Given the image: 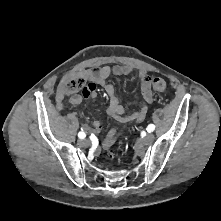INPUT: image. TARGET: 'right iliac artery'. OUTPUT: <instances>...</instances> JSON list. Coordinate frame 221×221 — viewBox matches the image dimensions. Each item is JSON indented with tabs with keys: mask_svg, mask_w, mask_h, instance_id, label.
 <instances>
[{
	"mask_svg": "<svg viewBox=\"0 0 221 221\" xmlns=\"http://www.w3.org/2000/svg\"><path fill=\"white\" fill-rule=\"evenodd\" d=\"M78 137L80 139H84L86 137V134L83 131H81V132L78 133Z\"/></svg>",
	"mask_w": 221,
	"mask_h": 221,
	"instance_id": "obj_1",
	"label": "right iliac artery"
}]
</instances>
